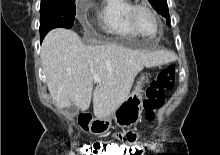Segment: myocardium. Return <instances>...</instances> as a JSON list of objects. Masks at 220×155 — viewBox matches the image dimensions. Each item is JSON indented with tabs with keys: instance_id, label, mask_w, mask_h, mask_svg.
Wrapping results in <instances>:
<instances>
[{
	"instance_id": "f54148a6",
	"label": "myocardium",
	"mask_w": 220,
	"mask_h": 155,
	"mask_svg": "<svg viewBox=\"0 0 220 155\" xmlns=\"http://www.w3.org/2000/svg\"><path fill=\"white\" fill-rule=\"evenodd\" d=\"M139 10H146L153 16V18L155 19V21L157 23V32L154 34V36L160 34V32L162 30L161 19H160L159 15L156 13V11L152 7H150L149 5H147L145 3L133 4L128 11V22H129L131 28L133 29V31L139 36L147 37L138 29L137 24H136L135 16Z\"/></svg>"
}]
</instances>
